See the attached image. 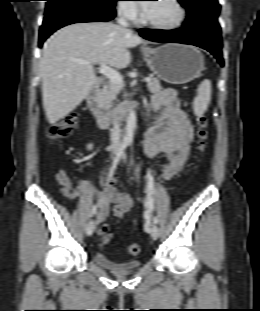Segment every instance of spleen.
Returning <instances> with one entry per match:
<instances>
[{
    "label": "spleen",
    "instance_id": "spleen-1",
    "mask_svg": "<svg viewBox=\"0 0 260 311\" xmlns=\"http://www.w3.org/2000/svg\"><path fill=\"white\" fill-rule=\"evenodd\" d=\"M211 100V81L203 80L198 86V94L193 101V109L196 116H202L208 108Z\"/></svg>",
    "mask_w": 260,
    "mask_h": 311
}]
</instances>
